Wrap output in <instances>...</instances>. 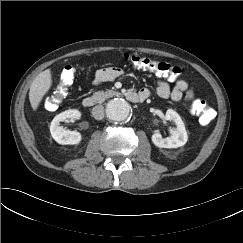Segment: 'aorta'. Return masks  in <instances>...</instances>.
Returning <instances> with one entry per match:
<instances>
[{
  "instance_id": "obj_1",
  "label": "aorta",
  "mask_w": 243,
  "mask_h": 243,
  "mask_svg": "<svg viewBox=\"0 0 243 243\" xmlns=\"http://www.w3.org/2000/svg\"><path fill=\"white\" fill-rule=\"evenodd\" d=\"M129 113L130 105L122 98H115L106 106V115L112 121H123L129 116Z\"/></svg>"
}]
</instances>
